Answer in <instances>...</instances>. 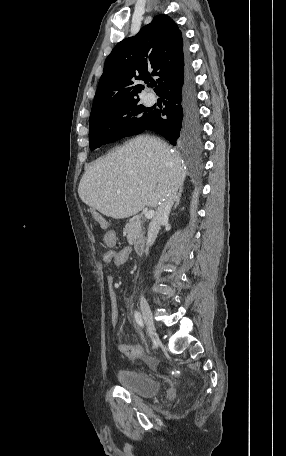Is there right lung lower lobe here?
Returning <instances> with one entry per match:
<instances>
[{
    "mask_svg": "<svg viewBox=\"0 0 286 456\" xmlns=\"http://www.w3.org/2000/svg\"><path fill=\"white\" fill-rule=\"evenodd\" d=\"M159 95L165 108L153 111L147 129L159 133L172 145L196 134L195 130H189L188 127L198 124L200 131L195 85L189 67L182 78L165 87Z\"/></svg>",
    "mask_w": 286,
    "mask_h": 456,
    "instance_id": "1",
    "label": "right lung lower lobe"
}]
</instances>
